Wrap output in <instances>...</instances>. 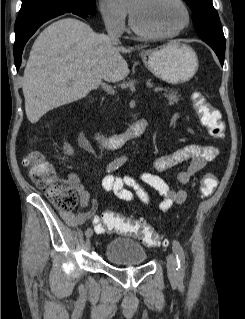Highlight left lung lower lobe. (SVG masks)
<instances>
[{
  "label": "left lung lower lobe",
  "mask_w": 245,
  "mask_h": 319,
  "mask_svg": "<svg viewBox=\"0 0 245 319\" xmlns=\"http://www.w3.org/2000/svg\"><path fill=\"white\" fill-rule=\"evenodd\" d=\"M211 48L215 51V53L217 54V56L220 60L221 65L223 66L225 51L222 49H219L218 47H214V46H211Z\"/></svg>",
  "instance_id": "obj_1"
}]
</instances>
